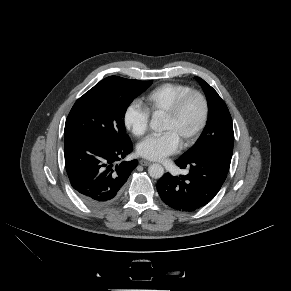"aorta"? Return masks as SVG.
I'll use <instances>...</instances> for the list:
<instances>
[{
	"label": "aorta",
	"instance_id": "obj_1",
	"mask_svg": "<svg viewBox=\"0 0 291 291\" xmlns=\"http://www.w3.org/2000/svg\"><path fill=\"white\" fill-rule=\"evenodd\" d=\"M150 127L154 131H162L163 130L162 120L157 117H153L150 121ZM148 173L152 178L159 179L164 174V168L162 165L158 163H153L149 166Z\"/></svg>",
	"mask_w": 291,
	"mask_h": 291
}]
</instances>
